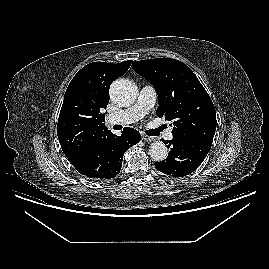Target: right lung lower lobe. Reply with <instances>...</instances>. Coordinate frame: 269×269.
Here are the masks:
<instances>
[{
	"label": "right lung lower lobe",
	"instance_id": "obj_1",
	"mask_svg": "<svg viewBox=\"0 0 269 269\" xmlns=\"http://www.w3.org/2000/svg\"><path fill=\"white\" fill-rule=\"evenodd\" d=\"M139 141L140 133L126 127L121 136L109 133L79 155L68 159L80 174L88 178L111 179L120 172L124 152Z\"/></svg>",
	"mask_w": 269,
	"mask_h": 269
}]
</instances>
